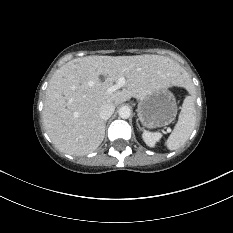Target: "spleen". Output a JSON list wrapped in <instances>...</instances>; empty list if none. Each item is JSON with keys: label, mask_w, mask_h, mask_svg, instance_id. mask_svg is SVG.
Returning a JSON list of instances; mask_svg holds the SVG:
<instances>
[{"label": "spleen", "mask_w": 233, "mask_h": 233, "mask_svg": "<svg viewBox=\"0 0 233 233\" xmlns=\"http://www.w3.org/2000/svg\"><path fill=\"white\" fill-rule=\"evenodd\" d=\"M195 122V98L191 95L184 99L178 122L166 141V146L169 150H177L185 144L195 128Z\"/></svg>", "instance_id": "1"}]
</instances>
